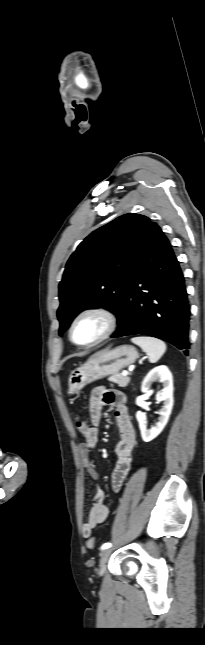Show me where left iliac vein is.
Returning <instances> with one entry per match:
<instances>
[{"label": "left iliac vein", "instance_id": "4c4485c4", "mask_svg": "<svg viewBox=\"0 0 205 645\" xmlns=\"http://www.w3.org/2000/svg\"><path fill=\"white\" fill-rule=\"evenodd\" d=\"M112 550L111 549H105L101 552L100 554V561H99V567L97 569V575L102 576L105 570V564L109 559V556L111 554Z\"/></svg>", "mask_w": 205, "mask_h": 645}]
</instances>
